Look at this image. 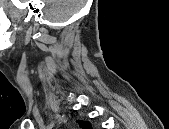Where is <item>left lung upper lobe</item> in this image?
<instances>
[{"instance_id":"5c2ea615","label":"left lung upper lobe","mask_w":169,"mask_h":129,"mask_svg":"<svg viewBox=\"0 0 169 129\" xmlns=\"http://www.w3.org/2000/svg\"><path fill=\"white\" fill-rule=\"evenodd\" d=\"M80 125V127L84 128V129H91V126H90V123L87 121H81V120H78L77 121Z\"/></svg>"}]
</instances>
